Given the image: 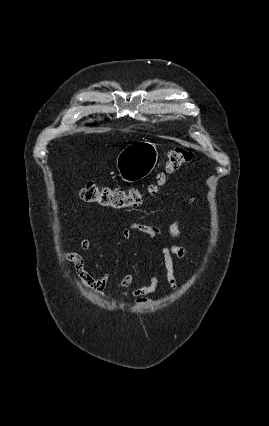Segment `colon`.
<instances>
[{"instance_id": "1", "label": "colon", "mask_w": 269, "mask_h": 426, "mask_svg": "<svg viewBox=\"0 0 269 426\" xmlns=\"http://www.w3.org/2000/svg\"><path fill=\"white\" fill-rule=\"evenodd\" d=\"M195 158L193 151L184 148H175L167 156L164 167L156 176L155 182L149 184L145 190L138 188H111L87 183L80 190V197L88 203L106 208L123 209L138 206L146 195L154 194L165 182L166 176L174 173L182 166L189 164Z\"/></svg>"}]
</instances>
